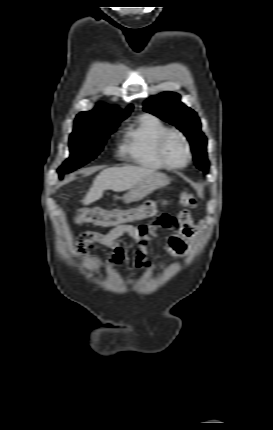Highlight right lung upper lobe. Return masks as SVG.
I'll return each instance as SVG.
<instances>
[{"label": "right lung upper lobe", "instance_id": "cb5924a9", "mask_svg": "<svg viewBox=\"0 0 273 430\" xmlns=\"http://www.w3.org/2000/svg\"><path fill=\"white\" fill-rule=\"evenodd\" d=\"M133 106L129 105L125 110H120L115 106L98 104L91 111H84L77 115L76 120L94 123H119L131 112Z\"/></svg>", "mask_w": 273, "mask_h": 430}]
</instances>
